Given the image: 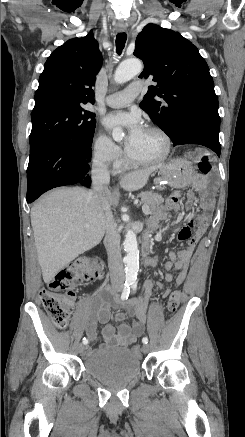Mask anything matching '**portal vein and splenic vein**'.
<instances>
[{
  "mask_svg": "<svg viewBox=\"0 0 245 437\" xmlns=\"http://www.w3.org/2000/svg\"><path fill=\"white\" fill-rule=\"evenodd\" d=\"M142 211H143V213L146 214V215H148V214L150 213V209H149V207L146 206V205H144V206L142 207ZM86 227H88V224H86Z\"/></svg>",
  "mask_w": 245,
  "mask_h": 437,
  "instance_id": "1",
  "label": "portal vein and splenic vein"
}]
</instances>
